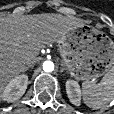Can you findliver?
Instances as JSON below:
<instances>
[{
  "label": "liver",
  "mask_w": 114,
  "mask_h": 114,
  "mask_svg": "<svg viewBox=\"0 0 114 114\" xmlns=\"http://www.w3.org/2000/svg\"><path fill=\"white\" fill-rule=\"evenodd\" d=\"M84 22L73 16L35 14L0 18V101L7 84L24 72L27 61H37L41 47L60 42Z\"/></svg>",
  "instance_id": "liver-1"
}]
</instances>
